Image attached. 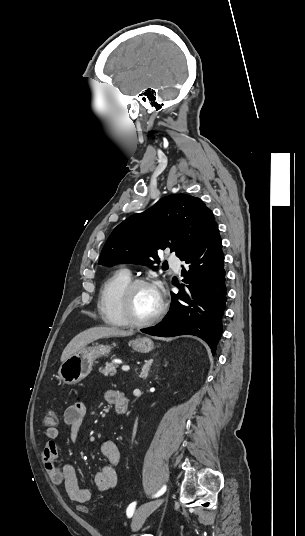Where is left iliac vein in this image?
<instances>
[{
    "instance_id": "4c4485c4",
    "label": "left iliac vein",
    "mask_w": 305,
    "mask_h": 536,
    "mask_svg": "<svg viewBox=\"0 0 305 536\" xmlns=\"http://www.w3.org/2000/svg\"><path fill=\"white\" fill-rule=\"evenodd\" d=\"M163 503V499L155 500L141 505L135 512L131 527L134 531H138L145 519Z\"/></svg>"
}]
</instances>
